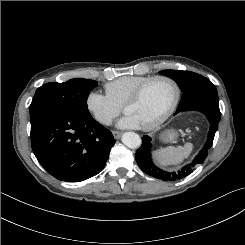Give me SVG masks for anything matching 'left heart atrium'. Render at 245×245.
<instances>
[{
    "instance_id": "left-heart-atrium-1",
    "label": "left heart atrium",
    "mask_w": 245,
    "mask_h": 245,
    "mask_svg": "<svg viewBox=\"0 0 245 245\" xmlns=\"http://www.w3.org/2000/svg\"><path fill=\"white\" fill-rule=\"evenodd\" d=\"M118 126L120 128H140L141 124L136 117L130 114H126L119 122Z\"/></svg>"
}]
</instances>
